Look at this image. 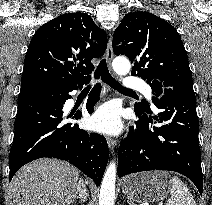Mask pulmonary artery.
Masks as SVG:
<instances>
[{
	"label": "pulmonary artery",
	"mask_w": 212,
	"mask_h": 205,
	"mask_svg": "<svg viewBox=\"0 0 212 205\" xmlns=\"http://www.w3.org/2000/svg\"><path fill=\"white\" fill-rule=\"evenodd\" d=\"M125 88L129 90H139L141 91L147 98L152 97V89L151 87L141 79L128 77L124 83Z\"/></svg>",
	"instance_id": "1"
}]
</instances>
